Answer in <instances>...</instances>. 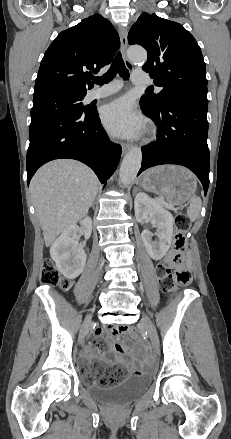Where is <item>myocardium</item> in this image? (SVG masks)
Wrapping results in <instances>:
<instances>
[{
  "mask_svg": "<svg viewBox=\"0 0 231 439\" xmlns=\"http://www.w3.org/2000/svg\"><path fill=\"white\" fill-rule=\"evenodd\" d=\"M154 134V131L153 130H150V135L152 136Z\"/></svg>",
  "mask_w": 231,
  "mask_h": 439,
  "instance_id": "myocardium-1",
  "label": "myocardium"
}]
</instances>
